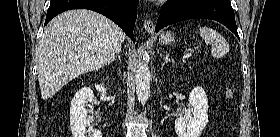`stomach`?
Here are the masks:
<instances>
[{"label":"stomach","instance_id":"stomach-1","mask_svg":"<svg viewBox=\"0 0 280 137\" xmlns=\"http://www.w3.org/2000/svg\"><path fill=\"white\" fill-rule=\"evenodd\" d=\"M159 40L163 44H170L174 41V34L171 31L163 32L160 34Z\"/></svg>","mask_w":280,"mask_h":137}]
</instances>
